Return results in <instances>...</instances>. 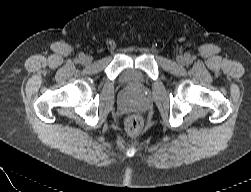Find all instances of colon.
Listing matches in <instances>:
<instances>
[{
  "instance_id": "obj_1",
  "label": "colon",
  "mask_w": 251,
  "mask_h": 192,
  "mask_svg": "<svg viewBox=\"0 0 251 192\" xmlns=\"http://www.w3.org/2000/svg\"><path fill=\"white\" fill-rule=\"evenodd\" d=\"M143 127V121L138 115H131L126 119L125 128L131 135L140 133Z\"/></svg>"
}]
</instances>
